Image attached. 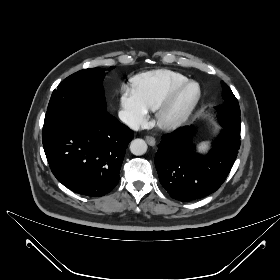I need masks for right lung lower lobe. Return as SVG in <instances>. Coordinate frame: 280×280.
Returning a JSON list of instances; mask_svg holds the SVG:
<instances>
[{"instance_id": "98d812e1", "label": "right lung lower lobe", "mask_w": 280, "mask_h": 280, "mask_svg": "<svg viewBox=\"0 0 280 280\" xmlns=\"http://www.w3.org/2000/svg\"><path fill=\"white\" fill-rule=\"evenodd\" d=\"M42 137L57 180L78 194L100 197L118 184L133 131L108 112H65L44 121Z\"/></svg>"}]
</instances>
